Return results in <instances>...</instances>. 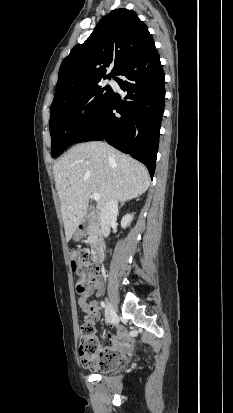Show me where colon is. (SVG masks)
<instances>
[{"label": "colon", "mask_w": 233, "mask_h": 413, "mask_svg": "<svg viewBox=\"0 0 233 413\" xmlns=\"http://www.w3.org/2000/svg\"><path fill=\"white\" fill-rule=\"evenodd\" d=\"M70 258L72 269L78 277L77 291L84 294L92 288L98 266L85 250H72ZM78 350L83 365L91 370H111L121 359L120 355L115 353H108L106 356L100 357V344L89 318L81 325Z\"/></svg>", "instance_id": "1"}]
</instances>
